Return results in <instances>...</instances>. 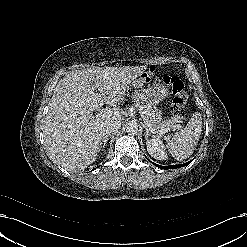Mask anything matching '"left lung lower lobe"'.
<instances>
[{
  "label": "left lung lower lobe",
  "mask_w": 247,
  "mask_h": 247,
  "mask_svg": "<svg viewBox=\"0 0 247 247\" xmlns=\"http://www.w3.org/2000/svg\"><path fill=\"white\" fill-rule=\"evenodd\" d=\"M191 161L187 162V163H184V164H181V165H171V166H161V165H157L155 164L157 167H160L161 169H173V168H180L182 166H185V165H188Z\"/></svg>",
  "instance_id": "0a47b994"
}]
</instances>
